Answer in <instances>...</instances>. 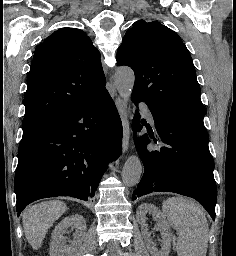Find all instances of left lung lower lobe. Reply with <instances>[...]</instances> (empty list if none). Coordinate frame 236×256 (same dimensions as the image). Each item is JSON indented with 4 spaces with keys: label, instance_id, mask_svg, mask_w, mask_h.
<instances>
[{
    "label": "left lung lower lobe",
    "instance_id": "1",
    "mask_svg": "<svg viewBox=\"0 0 236 256\" xmlns=\"http://www.w3.org/2000/svg\"><path fill=\"white\" fill-rule=\"evenodd\" d=\"M137 106L141 100L131 97ZM150 109L156 132L148 131L135 139L145 172L135 189L132 200L151 192H174L196 199L215 218L217 188L214 180V161L208 147V133L196 125L166 112ZM136 111L134 133L145 125ZM150 138L159 142L153 148Z\"/></svg>",
    "mask_w": 236,
    "mask_h": 256
}]
</instances>
